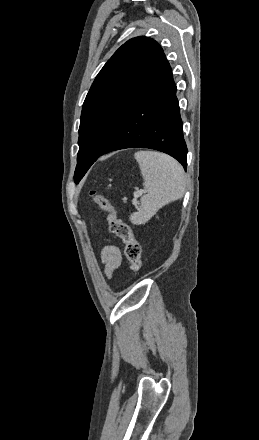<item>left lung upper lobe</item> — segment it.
Here are the masks:
<instances>
[{"mask_svg":"<svg viewBox=\"0 0 259 440\" xmlns=\"http://www.w3.org/2000/svg\"><path fill=\"white\" fill-rule=\"evenodd\" d=\"M162 55L155 40L135 37L123 44L96 76L82 107L75 183L110 142Z\"/></svg>","mask_w":259,"mask_h":440,"instance_id":"left-lung-upper-lobe-1","label":"left lung upper lobe"}]
</instances>
